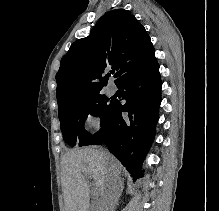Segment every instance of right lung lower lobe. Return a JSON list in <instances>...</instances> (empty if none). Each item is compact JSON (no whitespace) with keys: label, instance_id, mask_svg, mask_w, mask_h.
I'll return each mask as SVG.
<instances>
[{"label":"right lung lower lobe","instance_id":"1","mask_svg":"<svg viewBox=\"0 0 219 211\" xmlns=\"http://www.w3.org/2000/svg\"><path fill=\"white\" fill-rule=\"evenodd\" d=\"M117 86L126 102L114 100L102 128L90 136L86 145H107L137 179L143 176L141 165L155 137L161 103L162 83L156 58L131 71ZM123 112L128 115L122 116Z\"/></svg>","mask_w":219,"mask_h":211}]
</instances>
